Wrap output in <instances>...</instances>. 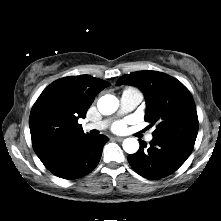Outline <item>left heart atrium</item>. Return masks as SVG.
<instances>
[{"mask_svg":"<svg viewBox=\"0 0 221 221\" xmlns=\"http://www.w3.org/2000/svg\"><path fill=\"white\" fill-rule=\"evenodd\" d=\"M125 129V123L124 122H119L117 124H115L114 126V130L116 132H122Z\"/></svg>","mask_w":221,"mask_h":221,"instance_id":"obj_1","label":"left heart atrium"}]
</instances>
